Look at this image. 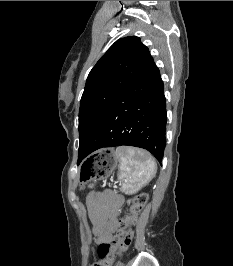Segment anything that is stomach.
Instances as JSON below:
<instances>
[{
	"label": "stomach",
	"mask_w": 233,
	"mask_h": 266,
	"mask_svg": "<svg viewBox=\"0 0 233 266\" xmlns=\"http://www.w3.org/2000/svg\"><path fill=\"white\" fill-rule=\"evenodd\" d=\"M117 147H98V152H90L88 161L83 166H109V167H78V176L81 185H98V180H108L110 169H114L119 162L115 156Z\"/></svg>",
	"instance_id": "stomach-1"
}]
</instances>
